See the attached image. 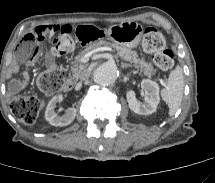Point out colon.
Listing matches in <instances>:
<instances>
[{
    "mask_svg": "<svg viewBox=\"0 0 215 183\" xmlns=\"http://www.w3.org/2000/svg\"><path fill=\"white\" fill-rule=\"evenodd\" d=\"M52 50L56 55H65L73 48L71 29H62L55 34ZM36 40L27 48V51L38 50ZM143 49L150 54H154L156 66L164 71L170 70L174 65V55L171 50L165 48V39L162 33L154 27H147L144 30ZM25 52V53H26ZM65 76L58 69L49 70L42 73L38 78V86L42 92L52 94L59 91L64 84ZM10 108L16 118L25 125H33L39 116L40 103L37 97L28 94H19L12 98Z\"/></svg>",
    "mask_w": 215,
    "mask_h": 183,
    "instance_id": "1",
    "label": "colon"
}]
</instances>
